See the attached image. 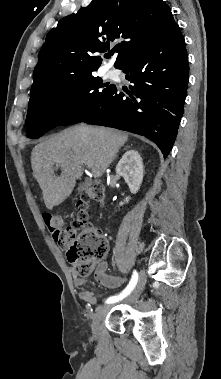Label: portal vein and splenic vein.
<instances>
[{"mask_svg": "<svg viewBox=\"0 0 221 379\" xmlns=\"http://www.w3.org/2000/svg\"><path fill=\"white\" fill-rule=\"evenodd\" d=\"M86 166H87V168H91L92 167V163L91 162H87Z\"/></svg>", "mask_w": 221, "mask_h": 379, "instance_id": "portal-vein-and-splenic-vein-1", "label": "portal vein and splenic vein"}]
</instances>
